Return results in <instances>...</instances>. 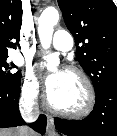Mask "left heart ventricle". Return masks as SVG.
Wrapping results in <instances>:
<instances>
[{"label": "left heart ventricle", "instance_id": "left-heart-ventricle-1", "mask_svg": "<svg viewBox=\"0 0 117 136\" xmlns=\"http://www.w3.org/2000/svg\"><path fill=\"white\" fill-rule=\"evenodd\" d=\"M51 103L64 110H77L86 101L84 86L76 75L65 71L61 84L49 94Z\"/></svg>", "mask_w": 117, "mask_h": 136}]
</instances>
